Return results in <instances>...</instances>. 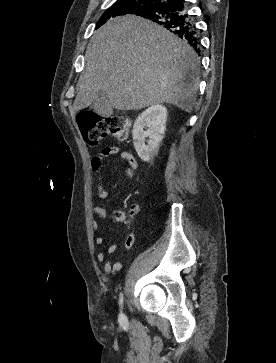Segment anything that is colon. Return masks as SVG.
<instances>
[{
	"label": "colon",
	"instance_id": "1",
	"mask_svg": "<svg viewBox=\"0 0 276 363\" xmlns=\"http://www.w3.org/2000/svg\"><path fill=\"white\" fill-rule=\"evenodd\" d=\"M77 121L82 137L91 146L97 145L107 136L125 141L131 127V119L126 115L101 117L86 109L79 111ZM115 216L120 220L125 219V214L121 211H117Z\"/></svg>",
	"mask_w": 276,
	"mask_h": 363
}]
</instances>
